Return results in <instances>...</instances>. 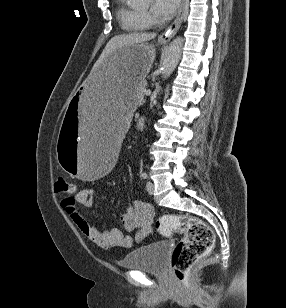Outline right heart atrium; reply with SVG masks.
Returning <instances> with one entry per match:
<instances>
[{"label":"right heart atrium","instance_id":"obj_1","mask_svg":"<svg viewBox=\"0 0 286 308\" xmlns=\"http://www.w3.org/2000/svg\"><path fill=\"white\" fill-rule=\"evenodd\" d=\"M146 18L149 20V22H152V21H153L152 18L149 17V16H146Z\"/></svg>","mask_w":286,"mask_h":308}]
</instances>
